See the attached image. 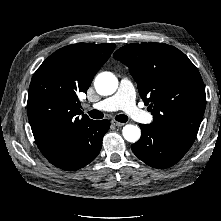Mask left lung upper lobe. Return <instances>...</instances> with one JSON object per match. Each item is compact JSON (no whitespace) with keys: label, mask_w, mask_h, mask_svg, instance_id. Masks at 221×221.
<instances>
[{"label":"left lung upper lobe","mask_w":221,"mask_h":221,"mask_svg":"<svg viewBox=\"0 0 221 221\" xmlns=\"http://www.w3.org/2000/svg\"><path fill=\"white\" fill-rule=\"evenodd\" d=\"M128 66L154 124L196 136L206 106L201 75L180 50L164 43L128 44L114 53Z\"/></svg>","instance_id":"5c2ea615"}]
</instances>
